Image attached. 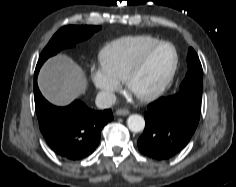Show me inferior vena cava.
Returning a JSON list of instances; mask_svg holds the SVG:
<instances>
[{
	"instance_id": "1",
	"label": "inferior vena cava",
	"mask_w": 236,
	"mask_h": 187,
	"mask_svg": "<svg viewBox=\"0 0 236 187\" xmlns=\"http://www.w3.org/2000/svg\"><path fill=\"white\" fill-rule=\"evenodd\" d=\"M116 102V96L113 93L101 91L96 96V105L100 109L110 108Z\"/></svg>"
}]
</instances>
